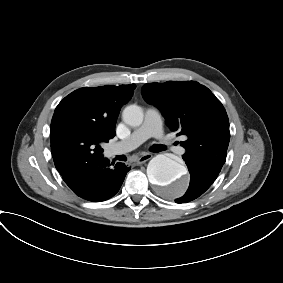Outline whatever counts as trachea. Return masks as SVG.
I'll return each mask as SVG.
<instances>
[{"label": "trachea", "instance_id": "trachea-1", "mask_svg": "<svg viewBox=\"0 0 283 283\" xmlns=\"http://www.w3.org/2000/svg\"><path fill=\"white\" fill-rule=\"evenodd\" d=\"M153 149L155 150V152H160L166 150V147L161 144H155L153 145Z\"/></svg>", "mask_w": 283, "mask_h": 283}]
</instances>
